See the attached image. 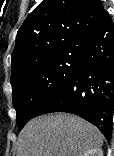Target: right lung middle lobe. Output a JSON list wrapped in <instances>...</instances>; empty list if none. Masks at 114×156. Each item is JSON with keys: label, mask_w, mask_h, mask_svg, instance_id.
I'll return each instance as SVG.
<instances>
[{"label": "right lung middle lobe", "mask_w": 114, "mask_h": 156, "mask_svg": "<svg viewBox=\"0 0 114 156\" xmlns=\"http://www.w3.org/2000/svg\"><path fill=\"white\" fill-rule=\"evenodd\" d=\"M82 57L81 47L77 45L34 64L11 81L20 129L64 90L76 74Z\"/></svg>", "instance_id": "1"}]
</instances>
